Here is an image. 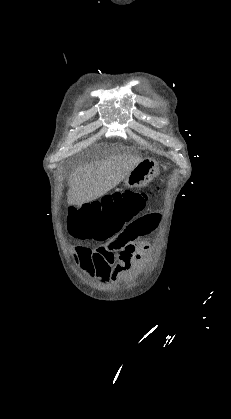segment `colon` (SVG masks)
<instances>
[{
	"label": "colon",
	"mask_w": 231,
	"mask_h": 419,
	"mask_svg": "<svg viewBox=\"0 0 231 419\" xmlns=\"http://www.w3.org/2000/svg\"><path fill=\"white\" fill-rule=\"evenodd\" d=\"M147 194L134 191L115 192L101 200L72 209L69 224L74 231H83L95 241H107L122 232L144 208Z\"/></svg>",
	"instance_id": "colon-1"
}]
</instances>
